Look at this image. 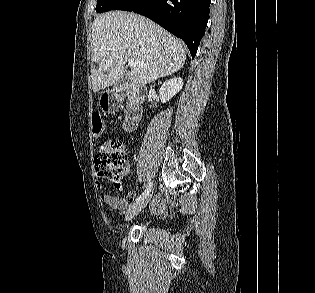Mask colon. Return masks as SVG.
<instances>
[{
    "instance_id": "colon-1",
    "label": "colon",
    "mask_w": 315,
    "mask_h": 293,
    "mask_svg": "<svg viewBox=\"0 0 315 293\" xmlns=\"http://www.w3.org/2000/svg\"><path fill=\"white\" fill-rule=\"evenodd\" d=\"M93 136L99 138L104 132V122L99 113L91 118ZM95 165L99 174L120 188L127 171V153L122 142L113 139L107 148L101 149L95 156Z\"/></svg>"
}]
</instances>
